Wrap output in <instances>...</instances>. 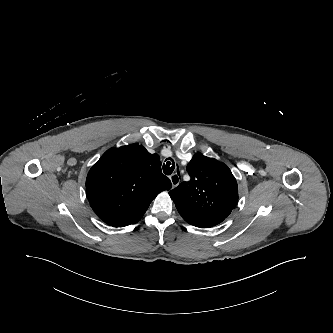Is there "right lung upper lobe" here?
Wrapping results in <instances>:
<instances>
[{
	"instance_id": "cb5924a9",
	"label": "right lung upper lobe",
	"mask_w": 333,
	"mask_h": 333,
	"mask_svg": "<svg viewBox=\"0 0 333 333\" xmlns=\"http://www.w3.org/2000/svg\"><path fill=\"white\" fill-rule=\"evenodd\" d=\"M170 188L159 156L138 144L106 151L86 179V195L93 211L113 227L138 222L151 201Z\"/></svg>"
}]
</instances>
